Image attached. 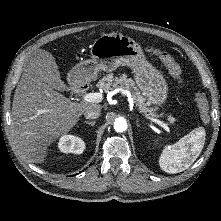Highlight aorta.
<instances>
[{"mask_svg":"<svg viewBox=\"0 0 221 221\" xmlns=\"http://www.w3.org/2000/svg\"><path fill=\"white\" fill-rule=\"evenodd\" d=\"M114 129L116 132H124L127 129V122L124 118L119 117L114 121Z\"/></svg>","mask_w":221,"mask_h":221,"instance_id":"1","label":"aorta"}]
</instances>
